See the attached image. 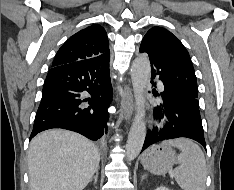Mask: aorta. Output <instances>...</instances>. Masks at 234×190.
Segmentation results:
<instances>
[{
    "mask_svg": "<svg viewBox=\"0 0 234 190\" xmlns=\"http://www.w3.org/2000/svg\"><path fill=\"white\" fill-rule=\"evenodd\" d=\"M151 73L150 61L147 55L137 57L131 68V80L135 94L136 114L133 120L126 145L128 161L134 160L140 153L145 136V97L144 91Z\"/></svg>",
    "mask_w": 234,
    "mask_h": 190,
    "instance_id": "obj_1",
    "label": "aorta"
}]
</instances>
